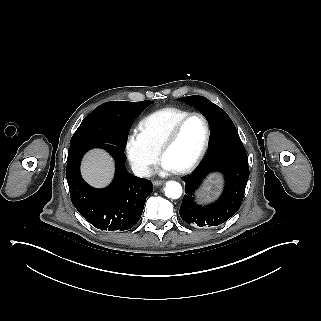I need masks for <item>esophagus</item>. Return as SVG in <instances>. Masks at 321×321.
<instances>
[{"instance_id": "34e87169", "label": "esophagus", "mask_w": 321, "mask_h": 321, "mask_svg": "<svg viewBox=\"0 0 321 321\" xmlns=\"http://www.w3.org/2000/svg\"><path fill=\"white\" fill-rule=\"evenodd\" d=\"M163 183H164L163 180H156V181L153 182V184H154L155 186H160V185H162Z\"/></svg>"}]
</instances>
